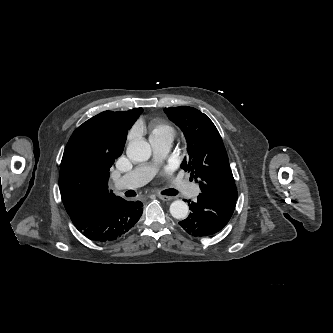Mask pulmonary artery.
I'll list each match as a JSON object with an SVG mask.
<instances>
[{"label": "pulmonary artery", "instance_id": "obj_1", "mask_svg": "<svg viewBox=\"0 0 333 333\" xmlns=\"http://www.w3.org/2000/svg\"><path fill=\"white\" fill-rule=\"evenodd\" d=\"M172 143L173 137L171 136L165 135L150 137V144L153 151L152 162L140 165L120 177L114 183L115 189L118 191L125 189H135L150 181L156 173L157 164L166 157V155L171 149ZM176 188L184 193H187L189 191H198V188L196 186L190 185L186 181H179L178 183H176Z\"/></svg>", "mask_w": 333, "mask_h": 333}]
</instances>
